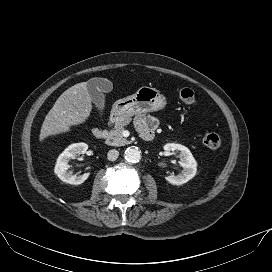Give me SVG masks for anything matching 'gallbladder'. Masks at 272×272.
<instances>
[{
  "mask_svg": "<svg viewBox=\"0 0 272 272\" xmlns=\"http://www.w3.org/2000/svg\"><path fill=\"white\" fill-rule=\"evenodd\" d=\"M87 89L92 102L99 111L100 116H102L105 108L103 91L111 90V83L103 78H92L87 81Z\"/></svg>",
  "mask_w": 272,
  "mask_h": 272,
  "instance_id": "obj_1",
  "label": "gallbladder"
}]
</instances>
